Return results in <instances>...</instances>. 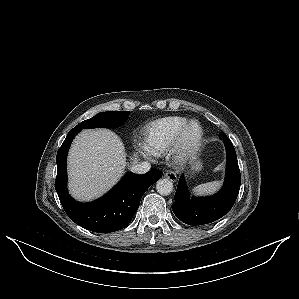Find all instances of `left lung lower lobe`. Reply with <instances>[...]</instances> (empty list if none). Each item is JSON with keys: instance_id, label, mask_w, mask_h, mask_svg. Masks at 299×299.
Wrapping results in <instances>:
<instances>
[{"instance_id": "1", "label": "left lung lower lobe", "mask_w": 299, "mask_h": 299, "mask_svg": "<svg viewBox=\"0 0 299 299\" xmlns=\"http://www.w3.org/2000/svg\"><path fill=\"white\" fill-rule=\"evenodd\" d=\"M221 139L226 146L227 169L224 185L217 194L205 198L190 197L184 177L179 179L172 210L188 225H204L220 219L230 211L238 196L241 175L236 152L227 136Z\"/></svg>"}]
</instances>
